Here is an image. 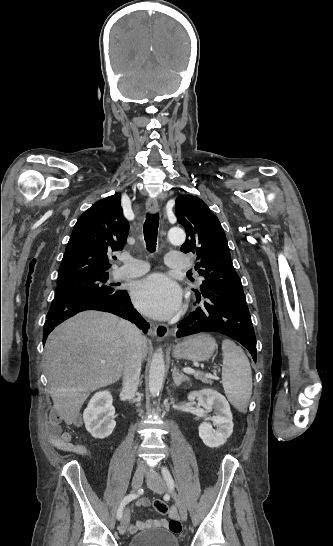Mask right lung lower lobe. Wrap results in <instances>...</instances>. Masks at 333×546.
Returning a JSON list of instances; mask_svg holds the SVG:
<instances>
[{"label":"right lung lower lobe","instance_id":"right-lung-lower-lobe-1","mask_svg":"<svg viewBox=\"0 0 333 546\" xmlns=\"http://www.w3.org/2000/svg\"><path fill=\"white\" fill-rule=\"evenodd\" d=\"M85 310H98L113 313L135 323L147 333L149 323L133 307L127 291L118 290L112 295L106 294H72L55 297L51 303L44 324L43 341L60 323Z\"/></svg>","mask_w":333,"mask_h":546}]
</instances>
